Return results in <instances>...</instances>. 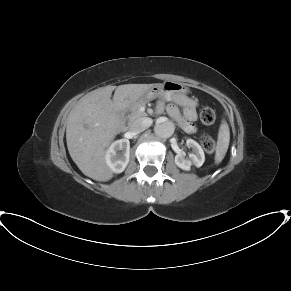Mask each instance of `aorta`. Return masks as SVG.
Segmentation results:
<instances>
[{
	"label": "aorta",
	"instance_id": "obj_1",
	"mask_svg": "<svg viewBox=\"0 0 291 291\" xmlns=\"http://www.w3.org/2000/svg\"><path fill=\"white\" fill-rule=\"evenodd\" d=\"M174 123L166 118L159 119L154 126V133L161 138H169L174 133Z\"/></svg>",
	"mask_w": 291,
	"mask_h": 291
}]
</instances>
